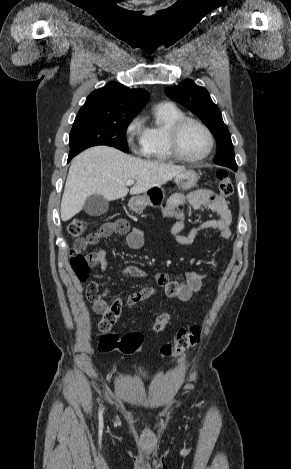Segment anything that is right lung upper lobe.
<instances>
[{
	"instance_id": "right-lung-upper-lobe-1",
	"label": "right lung upper lobe",
	"mask_w": 291,
	"mask_h": 469,
	"mask_svg": "<svg viewBox=\"0 0 291 469\" xmlns=\"http://www.w3.org/2000/svg\"><path fill=\"white\" fill-rule=\"evenodd\" d=\"M149 100L144 89H129L118 82L93 91L77 115L135 117Z\"/></svg>"
}]
</instances>
